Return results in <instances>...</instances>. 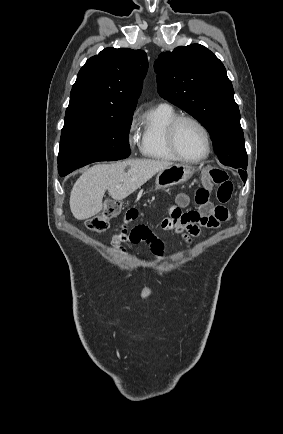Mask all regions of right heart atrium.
<instances>
[{"instance_id":"right-heart-atrium-1","label":"right heart atrium","mask_w":283,"mask_h":434,"mask_svg":"<svg viewBox=\"0 0 283 434\" xmlns=\"http://www.w3.org/2000/svg\"><path fill=\"white\" fill-rule=\"evenodd\" d=\"M134 132H135V120H132L128 128V141L130 144H133Z\"/></svg>"}]
</instances>
